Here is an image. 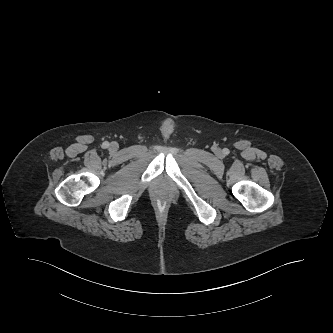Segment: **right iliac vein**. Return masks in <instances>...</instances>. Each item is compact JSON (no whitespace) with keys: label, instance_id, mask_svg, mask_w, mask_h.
<instances>
[{"label":"right iliac vein","instance_id":"obj_1","mask_svg":"<svg viewBox=\"0 0 333 333\" xmlns=\"http://www.w3.org/2000/svg\"><path fill=\"white\" fill-rule=\"evenodd\" d=\"M110 149H111L112 151H116V150L118 149V144H117L116 142H112V143L110 144Z\"/></svg>","mask_w":333,"mask_h":333}]
</instances>
